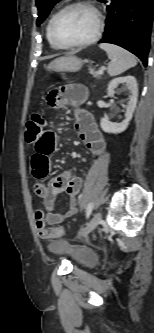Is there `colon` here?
Here are the masks:
<instances>
[{
	"mask_svg": "<svg viewBox=\"0 0 154 333\" xmlns=\"http://www.w3.org/2000/svg\"><path fill=\"white\" fill-rule=\"evenodd\" d=\"M45 126V118L42 112H36L29 118L25 127V142L28 145H33L37 136ZM36 225L41 237L46 239L58 238L63 234L62 227L46 228L44 221V214L41 210L35 213Z\"/></svg>",
	"mask_w": 154,
	"mask_h": 333,
	"instance_id": "colon-1",
	"label": "colon"
}]
</instances>
